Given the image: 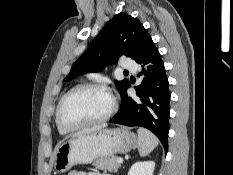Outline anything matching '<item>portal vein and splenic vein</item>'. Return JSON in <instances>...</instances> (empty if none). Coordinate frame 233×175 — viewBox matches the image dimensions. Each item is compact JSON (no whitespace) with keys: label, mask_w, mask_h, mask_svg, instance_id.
Returning a JSON list of instances; mask_svg holds the SVG:
<instances>
[{"label":"portal vein and splenic vein","mask_w":233,"mask_h":175,"mask_svg":"<svg viewBox=\"0 0 233 175\" xmlns=\"http://www.w3.org/2000/svg\"><path fill=\"white\" fill-rule=\"evenodd\" d=\"M117 162L120 164L123 163V158H117Z\"/></svg>","instance_id":"portal-vein-and-splenic-vein-1"}]
</instances>
